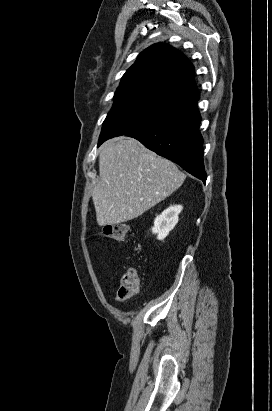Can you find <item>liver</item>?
Wrapping results in <instances>:
<instances>
[{
  "label": "liver",
  "instance_id": "6515ba94",
  "mask_svg": "<svg viewBox=\"0 0 272 411\" xmlns=\"http://www.w3.org/2000/svg\"><path fill=\"white\" fill-rule=\"evenodd\" d=\"M99 175L92 192L99 226L137 218L172 194L186 178L173 162L124 136L101 146Z\"/></svg>",
  "mask_w": 272,
  "mask_h": 411
}]
</instances>
